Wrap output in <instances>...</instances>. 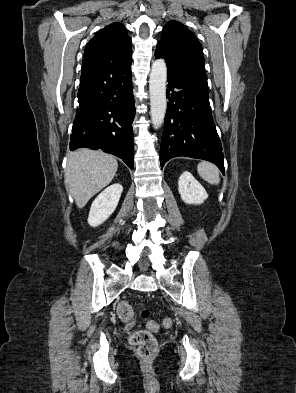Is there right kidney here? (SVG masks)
Instances as JSON below:
<instances>
[{
	"instance_id": "obj_1",
	"label": "right kidney",
	"mask_w": 296,
	"mask_h": 393,
	"mask_svg": "<svg viewBox=\"0 0 296 393\" xmlns=\"http://www.w3.org/2000/svg\"><path fill=\"white\" fill-rule=\"evenodd\" d=\"M122 191V185L115 183L97 196L89 212L88 224L90 226L97 227L110 217L118 205Z\"/></svg>"
}]
</instances>
